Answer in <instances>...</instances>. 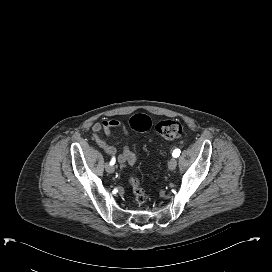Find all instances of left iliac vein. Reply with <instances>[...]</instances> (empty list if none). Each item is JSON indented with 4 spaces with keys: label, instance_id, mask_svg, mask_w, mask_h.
<instances>
[{
    "label": "left iliac vein",
    "instance_id": "left-iliac-vein-1",
    "mask_svg": "<svg viewBox=\"0 0 272 272\" xmlns=\"http://www.w3.org/2000/svg\"><path fill=\"white\" fill-rule=\"evenodd\" d=\"M177 166V160L175 158H171L168 162L169 170H174Z\"/></svg>",
    "mask_w": 272,
    "mask_h": 272
}]
</instances>
